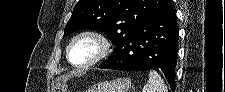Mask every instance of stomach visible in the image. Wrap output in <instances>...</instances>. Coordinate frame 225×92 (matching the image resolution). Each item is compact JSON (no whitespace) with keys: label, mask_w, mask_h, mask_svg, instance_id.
Returning <instances> with one entry per match:
<instances>
[{"label":"stomach","mask_w":225,"mask_h":92,"mask_svg":"<svg viewBox=\"0 0 225 92\" xmlns=\"http://www.w3.org/2000/svg\"><path fill=\"white\" fill-rule=\"evenodd\" d=\"M131 88V80L128 78L105 81L89 89L88 92H128Z\"/></svg>","instance_id":"1"}]
</instances>
